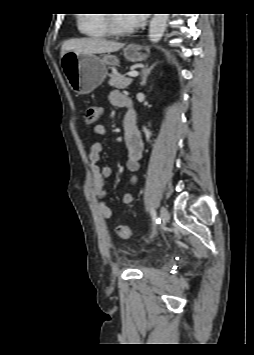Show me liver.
Listing matches in <instances>:
<instances>
[{"label": "liver", "mask_w": 254, "mask_h": 355, "mask_svg": "<svg viewBox=\"0 0 254 355\" xmlns=\"http://www.w3.org/2000/svg\"><path fill=\"white\" fill-rule=\"evenodd\" d=\"M123 43L98 38H76L65 41L61 47V57L68 51L84 54H100L118 51Z\"/></svg>", "instance_id": "6515ba94"}]
</instances>
